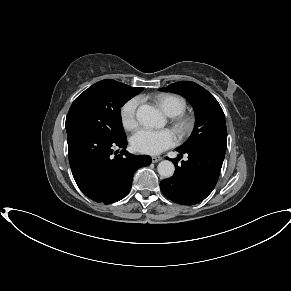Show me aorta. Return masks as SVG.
<instances>
[{
	"instance_id": "1",
	"label": "aorta",
	"mask_w": 291,
	"mask_h": 291,
	"mask_svg": "<svg viewBox=\"0 0 291 291\" xmlns=\"http://www.w3.org/2000/svg\"><path fill=\"white\" fill-rule=\"evenodd\" d=\"M136 118L138 122L145 127L159 128L164 125V118L161 113L148 104H143L138 107L136 112ZM157 170L159 175L164 178H169L173 176L175 167L171 161L163 160L158 164Z\"/></svg>"
}]
</instances>
